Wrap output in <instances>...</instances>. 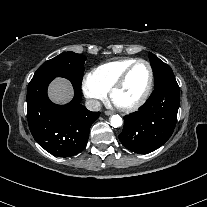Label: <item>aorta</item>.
<instances>
[{
  "label": "aorta",
  "mask_w": 207,
  "mask_h": 207,
  "mask_svg": "<svg viewBox=\"0 0 207 207\" xmlns=\"http://www.w3.org/2000/svg\"><path fill=\"white\" fill-rule=\"evenodd\" d=\"M122 123H123L122 118L119 115H113L110 118V125L114 128L120 127Z\"/></svg>",
  "instance_id": "1"
}]
</instances>
